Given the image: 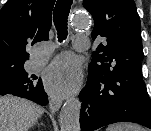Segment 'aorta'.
I'll use <instances>...</instances> for the list:
<instances>
[{"label":"aorta","instance_id":"762f6f07","mask_svg":"<svg viewBox=\"0 0 151 131\" xmlns=\"http://www.w3.org/2000/svg\"><path fill=\"white\" fill-rule=\"evenodd\" d=\"M88 25L89 19L84 14H78L72 20V26L77 29H85ZM80 108V101L75 97L64 102L59 115L61 131H80Z\"/></svg>","mask_w":151,"mask_h":131}]
</instances>
